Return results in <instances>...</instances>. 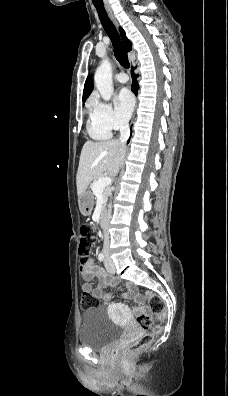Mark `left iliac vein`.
<instances>
[{"instance_id": "4c4485c4", "label": "left iliac vein", "mask_w": 228, "mask_h": 396, "mask_svg": "<svg viewBox=\"0 0 228 396\" xmlns=\"http://www.w3.org/2000/svg\"><path fill=\"white\" fill-rule=\"evenodd\" d=\"M105 267L110 274L115 273V266H114L113 262L108 258V256H106V259H105Z\"/></svg>"}]
</instances>
